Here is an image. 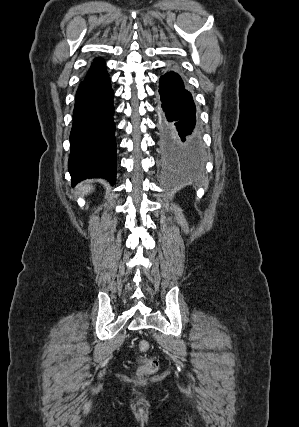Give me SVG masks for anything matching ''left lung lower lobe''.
<instances>
[{"label":"left lung lower lobe","mask_w":299,"mask_h":427,"mask_svg":"<svg viewBox=\"0 0 299 427\" xmlns=\"http://www.w3.org/2000/svg\"><path fill=\"white\" fill-rule=\"evenodd\" d=\"M157 106L159 147L167 160L200 155L201 140L196 128V108L191 93L179 74L170 71L160 77Z\"/></svg>","instance_id":"left-lung-lower-lobe-1"}]
</instances>
